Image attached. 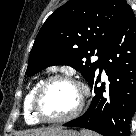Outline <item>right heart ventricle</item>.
<instances>
[{
  "mask_svg": "<svg viewBox=\"0 0 136 136\" xmlns=\"http://www.w3.org/2000/svg\"><path fill=\"white\" fill-rule=\"evenodd\" d=\"M40 84V82L35 83L28 91V93L25 96L24 99V104H23V109H24V117L25 120L28 124H37L39 121L35 118V116L32 113L31 110V101H32V97L33 94L36 90V88L38 87V85Z\"/></svg>",
  "mask_w": 136,
  "mask_h": 136,
  "instance_id": "right-heart-ventricle-1",
  "label": "right heart ventricle"
}]
</instances>
